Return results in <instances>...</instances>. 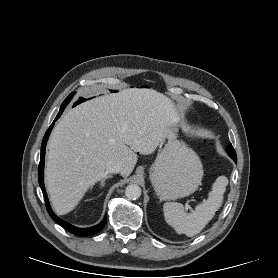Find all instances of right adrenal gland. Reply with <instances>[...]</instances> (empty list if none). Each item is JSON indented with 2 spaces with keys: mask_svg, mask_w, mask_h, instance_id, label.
<instances>
[{
  "mask_svg": "<svg viewBox=\"0 0 278 278\" xmlns=\"http://www.w3.org/2000/svg\"><path fill=\"white\" fill-rule=\"evenodd\" d=\"M113 176L112 175H106V176H104L103 177V179L101 180V182H100V188H103L104 187V185H105V181L108 179V178H112Z\"/></svg>",
  "mask_w": 278,
  "mask_h": 278,
  "instance_id": "2a0ac1e0",
  "label": "right adrenal gland"
}]
</instances>
